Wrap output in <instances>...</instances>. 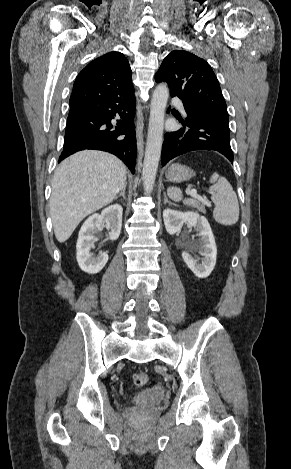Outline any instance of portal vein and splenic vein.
Wrapping results in <instances>:
<instances>
[{
    "instance_id": "obj_1",
    "label": "portal vein and splenic vein",
    "mask_w": 291,
    "mask_h": 469,
    "mask_svg": "<svg viewBox=\"0 0 291 469\" xmlns=\"http://www.w3.org/2000/svg\"><path fill=\"white\" fill-rule=\"evenodd\" d=\"M189 195L192 196V197H195V198L198 197L197 191H196L195 189H191V190L189 191ZM206 204H207L208 206H211V204H209V203H207V202H206Z\"/></svg>"
}]
</instances>
